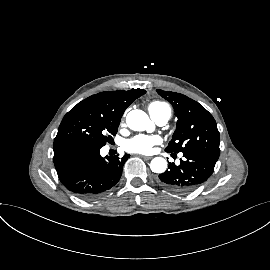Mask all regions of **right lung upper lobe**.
Returning a JSON list of instances; mask_svg holds the SVG:
<instances>
[{
	"instance_id": "1",
	"label": "right lung upper lobe",
	"mask_w": 270,
	"mask_h": 270,
	"mask_svg": "<svg viewBox=\"0 0 270 270\" xmlns=\"http://www.w3.org/2000/svg\"><path fill=\"white\" fill-rule=\"evenodd\" d=\"M143 89H132L128 91H106L87 98L97 111L109 117L121 120L126 108L137 98L145 94Z\"/></svg>"
}]
</instances>
